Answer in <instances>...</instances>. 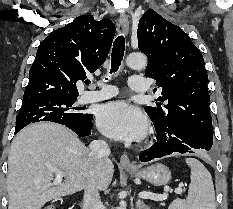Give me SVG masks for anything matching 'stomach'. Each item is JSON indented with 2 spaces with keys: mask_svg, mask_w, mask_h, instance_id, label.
I'll return each mask as SVG.
<instances>
[{
  "mask_svg": "<svg viewBox=\"0 0 233 209\" xmlns=\"http://www.w3.org/2000/svg\"><path fill=\"white\" fill-rule=\"evenodd\" d=\"M136 178H141L154 186H163L170 182L171 172L163 164H154L141 170L126 169Z\"/></svg>",
  "mask_w": 233,
  "mask_h": 209,
  "instance_id": "1",
  "label": "stomach"
}]
</instances>
